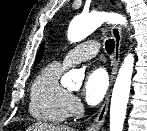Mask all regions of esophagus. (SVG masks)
Instances as JSON below:
<instances>
[{
    "label": "esophagus",
    "mask_w": 147,
    "mask_h": 131,
    "mask_svg": "<svg viewBox=\"0 0 147 131\" xmlns=\"http://www.w3.org/2000/svg\"><path fill=\"white\" fill-rule=\"evenodd\" d=\"M111 33L115 41V48H114L113 59L111 62L112 70H111V75H110L109 90L106 94V97L98 112L97 117L91 123V125L87 127L86 131H99L101 127L103 126L106 115H107V111H108V105H109L112 85L114 83L116 74L118 72V67H119V62H120L121 43H122V32H121L120 26L113 25L111 28Z\"/></svg>",
    "instance_id": "obj_1"
}]
</instances>
